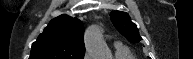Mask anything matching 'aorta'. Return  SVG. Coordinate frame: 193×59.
Returning <instances> with one entry per match:
<instances>
[{
    "label": "aorta",
    "mask_w": 193,
    "mask_h": 59,
    "mask_svg": "<svg viewBox=\"0 0 193 59\" xmlns=\"http://www.w3.org/2000/svg\"><path fill=\"white\" fill-rule=\"evenodd\" d=\"M85 45L88 52L98 58L109 57L108 48L103 41L100 30L96 26H91L85 34Z\"/></svg>",
    "instance_id": "1"
}]
</instances>
